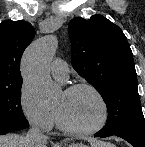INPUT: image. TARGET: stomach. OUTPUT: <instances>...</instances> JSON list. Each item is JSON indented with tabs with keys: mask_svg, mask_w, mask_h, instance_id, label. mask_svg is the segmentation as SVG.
<instances>
[{
	"mask_svg": "<svg viewBox=\"0 0 145 147\" xmlns=\"http://www.w3.org/2000/svg\"><path fill=\"white\" fill-rule=\"evenodd\" d=\"M69 147H87V146H85V145H83L81 143H76V144L69 145Z\"/></svg>",
	"mask_w": 145,
	"mask_h": 147,
	"instance_id": "1",
	"label": "stomach"
}]
</instances>
